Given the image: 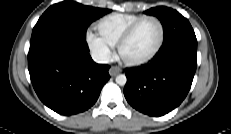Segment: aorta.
I'll return each mask as SVG.
<instances>
[{
	"label": "aorta",
	"instance_id": "obj_1",
	"mask_svg": "<svg viewBox=\"0 0 231 134\" xmlns=\"http://www.w3.org/2000/svg\"><path fill=\"white\" fill-rule=\"evenodd\" d=\"M116 83L119 84L120 86H124L127 82V78L124 74H120L116 77L115 79Z\"/></svg>",
	"mask_w": 231,
	"mask_h": 134
}]
</instances>
